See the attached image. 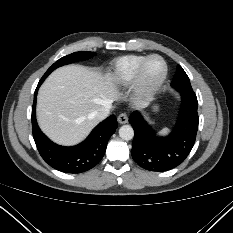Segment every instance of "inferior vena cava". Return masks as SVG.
I'll return each mask as SVG.
<instances>
[{
	"label": "inferior vena cava",
	"instance_id": "obj_1",
	"mask_svg": "<svg viewBox=\"0 0 233 233\" xmlns=\"http://www.w3.org/2000/svg\"><path fill=\"white\" fill-rule=\"evenodd\" d=\"M110 109H111V105L103 106L99 108L97 111L93 112L92 116L98 119L99 121L104 120L105 118L108 117L110 113Z\"/></svg>",
	"mask_w": 233,
	"mask_h": 233
}]
</instances>
